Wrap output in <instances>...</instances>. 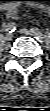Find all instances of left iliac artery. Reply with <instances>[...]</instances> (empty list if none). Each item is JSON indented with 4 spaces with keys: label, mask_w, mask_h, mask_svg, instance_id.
<instances>
[{
    "label": "left iliac artery",
    "mask_w": 50,
    "mask_h": 111,
    "mask_svg": "<svg viewBox=\"0 0 50 111\" xmlns=\"http://www.w3.org/2000/svg\"><path fill=\"white\" fill-rule=\"evenodd\" d=\"M31 31L36 36V38L38 40L43 39V34H42V32L38 28H32Z\"/></svg>",
    "instance_id": "44dca946"
}]
</instances>
